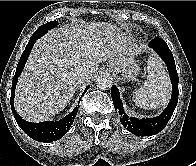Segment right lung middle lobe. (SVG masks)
I'll return each instance as SVG.
<instances>
[{
  "instance_id": "1",
  "label": "right lung middle lobe",
  "mask_w": 196,
  "mask_h": 166,
  "mask_svg": "<svg viewBox=\"0 0 196 166\" xmlns=\"http://www.w3.org/2000/svg\"><path fill=\"white\" fill-rule=\"evenodd\" d=\"M58 24L57 21L47 22L44 25H41L32 36L40 38L43 36L48 30L54 28Z\"/></svg>"
}]
</instances>
